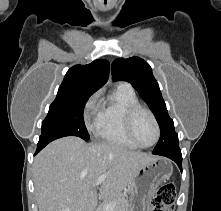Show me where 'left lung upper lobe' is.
<instances>
[{"mask_svg": "<svg viewBox=\"0 0 221 211\" xmlns=\"http://www.w3.org/2000/svg\"><path fill=\"white\" fill-rule=\"evenodd\" d=\"M112 76L114 81L131 83L154 113L161 136L153 153L179 149L178 134L174 131L173 120L168 115L150 65L139 57L118 58L112 63Z\"/></svg>", "mask_w": 221, "mask_h": 211, "instance_id": "obj_1", "label": "left lung upper lobe"}]
</instances>
